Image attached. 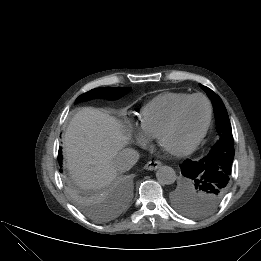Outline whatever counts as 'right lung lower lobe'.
<instances>
[{"label": "right lung lower lobe", "instance_id": "98d812e1", "mask_svg": "<svg viewBox=\"0 0 261 261\" xmlns=\"http://www.w3.org/2000/svg\"><path fill=\"white\" fill-rule=\"evenodd\" d=\"M58 160H59V163L61 164V163H62V154H61V149H59Z\"/></svg>", "mask_w": 261, "mask_h": 261}]
</instances>
